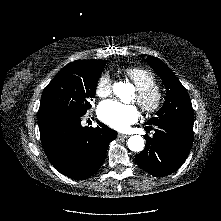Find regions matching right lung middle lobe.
Instances as JSON below:
<instances>
[{
	"label": "right lung middle lobe",
	"instance_id": "right-lung-middle-lobe-1",
	"mask_svg": "<svg viewBox=\"0 0 221 221\" xmlns=\"http://www.w3.org/2000/svg\"><path fill=\"white\" fill-rule=\"evenodd\" d=\"M105 65V61L98 67L75 61L63 67L42 93L38 123L83 116L91 107Z\"/></svg>",
	"mask_w": 221,
	"mask_h": 221
}]
</instances>
